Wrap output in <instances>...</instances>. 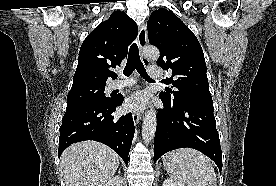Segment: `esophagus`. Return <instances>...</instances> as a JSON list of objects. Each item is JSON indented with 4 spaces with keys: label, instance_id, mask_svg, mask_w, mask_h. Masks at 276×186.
<instances>
[{
    "label": "esophagus",
    "instance_id": "esophagus-1",
    "mask_svg": "<svg viewBox=\"0 0 276 186\" xmlns=\"http://www.w3.org/2000/svg\"><path fill=\"white\" fill-rule=\"evenodd\" d=\"M147 42V33H146V26L143 24L140 26L139 32H138V47L141 52V59L144 65H148L149 61L143 56L142 51L146 45ZM132 118L134 121V124L137 125L139 121L141 120V113L138 111L132 112Z\"/></svg>",
    "mask_w": 276,
    "mask_h": 186
}]
</instances>
